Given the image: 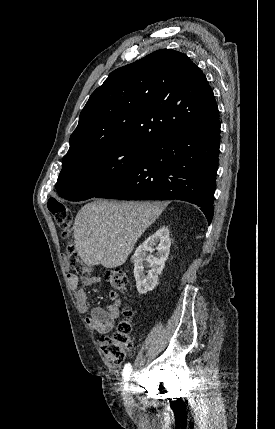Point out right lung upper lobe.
Segmentation results:
<instances>
[{
    "label": "right lung upper lobe",
    "instance_id": "right-lung-upper-lobe-1",
    "mask_svg": "<svg viewBox=\"0 0 275 429\" xmlns=\"http://www.w3.org/2000/svg\"><path fill=\"white\" fill-rule=\"evenodd\" d=\"M219 118L213 91L186 54L161 49L116 69L90 96L62 163L116 144L150 146Z\"/></svg>",
    "mask_w": 275,
    "mask_h": 429
}]
</instances>
